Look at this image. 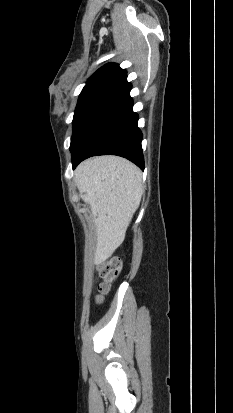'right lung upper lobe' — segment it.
<instances>
[{
    "instance_id": "cb5924a9",
    "label": "right lung upper lobe",
    "mask_w": 233,
    "mask_h": 413,
    "mask_svg": "<svg viewBox=\"0 0 233 413\" xmlns=\"http://www.w3.org/2000/svg\"><path fill=\"white\" fill-rule=\"evenodd\" d=\"M124 76H126V71L124 69H121L116 63H109L97 70L88 79L87 84L103 80H111L116 82Z\"/></svg>"
}]
</instances>
